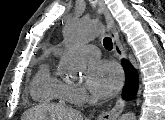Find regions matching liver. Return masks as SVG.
<instances>
[{
  "label": "liver",
  "mask_w": 165,
  "mask_h": 120,
  "mask_svg": "<svg viewBox=\"0 0 165 120\" xmlns=\"http://www.w3.org/2000/svg\"><path fill=\"white\" fill-rule=\"evenodd\" d=\"M51 107L49 106H38L32 109H29L26 111L23 115L22 120H41L42 118H45V115L47 111ZM54 110V115H56L59 120H83L81 114L68 107H52V113Z\"/></svg>",
  "instance_id": "obj_1"
}]
</instances>
